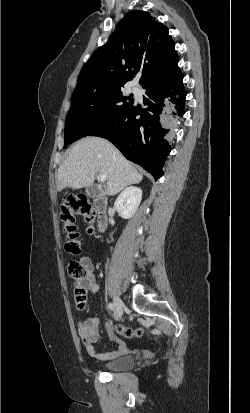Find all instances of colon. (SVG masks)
<instances>
[{
    "instance_id": "obj_1",
    "label": "colon",
    "mask_w": 250,
    "mask_h": 413,
    "mask_svg": "<svg viewBox=\"0 0 250 413\" xmlns=\"http://www.w3.org/2000/svg\"><path fill=\"white\" fill-rule=\"evenodd\" d=\"M61 221L66 233L65 250L72 254L78 255L81 252V243L79 233L76 227V217L82 216L86 222L91 224L89 231L93 232L92 223L96 218V211L91 203L84 196L69 197L61 207ZM69 272L73 279L77 281L75 287V301L78 307L83 308L87 302V292L81 281L87 276L86 269L80 262H71ZM114 329L117 333L134 338L145 334V329L141 324L137 328H132L124 325H115ZM156 342L155 340L153 341Z\"/></svg>"
}]
</instances>
